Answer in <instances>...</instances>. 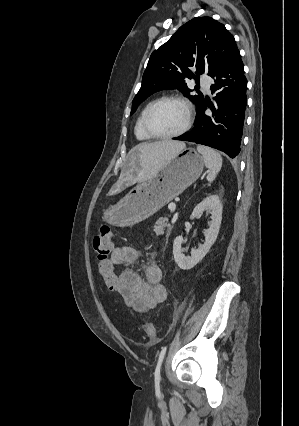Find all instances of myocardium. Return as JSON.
<instances>
[{"instance_id": "obj_1", "label": "myocardium", "mask_w": 299, "mask_h": 426, "mask_svg": "<svg viewBox=\"0 0 299 426\" xmlns=\"http://www.w3.org/2000/svg\"><path fill=\"white\" fill-rule=\"evenodd\" d=\"M165 102H177L182 104L185 109H186V121L185 124L183 125V127L174 132V133H170V134H158L156 132H154L150 126V118L152 113L154 112V110L161 105L162 103ZM193 122V108L191 103L184 97L182 96H178V95H168V96H163L161 98L156 99L147 109L144 119H143V128L145 130V132L151 137V138H156V139H172V138H176L179 137L183 134H185L191 127Z\"/></svg>"}]
</instances>
